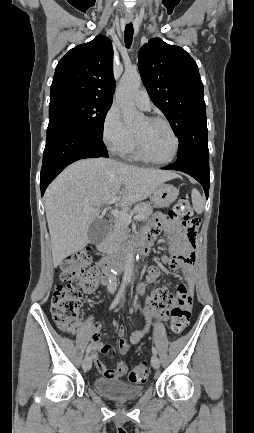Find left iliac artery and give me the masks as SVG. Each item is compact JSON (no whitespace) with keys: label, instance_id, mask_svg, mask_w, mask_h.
<instances>
[{"label":"left iliac artery","instance_id":"44dca946","mask_svg":"<svg viewBox=\"0 0 254 433\" xmlns=\"http://www.w3.org/2000/svg\"><path fill=\"white\" fill-rule=\"evenodd\" d=\"M153 354L157 355V349L155 347H152Z\"/></svg>","mask_w":254,"mask_h":433}]
</instances>
